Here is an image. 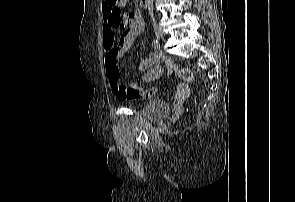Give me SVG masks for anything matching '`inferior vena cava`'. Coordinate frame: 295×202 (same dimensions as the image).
<instances>
[{
  "instance_id": "obj_1",
  "label": "inferior vena cava",
  "mask_w": 295,
  "mask_h": 202,
  "mask_svg": "<svg viewBox=\"0 0 295 202\" xmlns=\"http://www.w3.org/2000/svg\"><path fill=\"white\" fill-rule=\"evenodd\" d=\"M148 1V10H149V14L150 16L153 18V0H147Z\"/></svg>"
}]
</instances>
